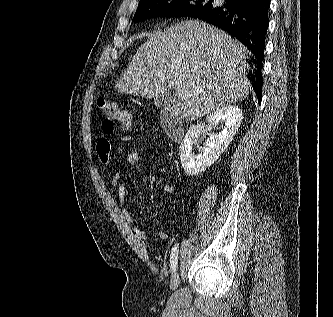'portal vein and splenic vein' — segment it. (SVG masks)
I'll return each mask as SVG.
<instances>
[{"label": "portal vein and splenic vein", "instance_id": "obj_1", "mask_svg": "<svg viewBox=\"0 0 333 317\" xmlns=\"http://www.w3.org/2000/svg\"><path fill=\"white\" fill-rule=\"evenodd\" d=\"M175 90L177 92V95H178L179 99L185 97V95L183 93V89L180 86H175Z\"/></svg>", "mask_w": 333, "mask_h": 317}]
</instances>
